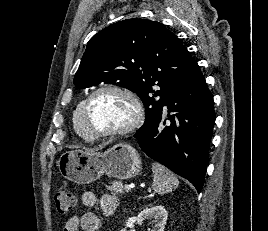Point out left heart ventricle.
Listing matches in <instances>:
<instances>
[{"mask_svg": "<svg viewBox=\"0 0 268 231\" xmlns=\"http://www.w3.org/2000/svg\"><path fill=\"white\" fill-rule=\"evenodd\" d=\"M132 116L131 103L112 92H102L95 96L88 111L90 127L95 131L118 129L126 125Z\"/></svg>", "mask_w": 268, "mask_h": 231, "instance_id": "obj_1", "label": "left heart ventricle"}]
</instances>
